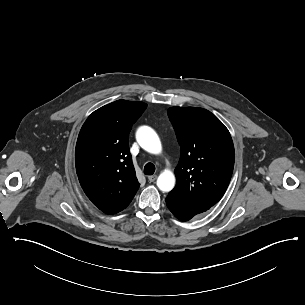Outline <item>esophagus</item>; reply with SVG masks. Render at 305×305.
Masks as SVG:
<instances>
[{
	"instance_id": "34e87169",
	"label": "esophagus",
	"mask_w": 305,
	"mask_h": 305,
	"mask_svg": "<svg viewBox=\"0 0 305 305\" xmlns=\"http://www.w3.org/2000/svg\"><path fill=\"white\" fill-rule=\"evenodd\" d=\"M157 177H158L157 175H151V176L148 177V180L150 182H153V181H155L157 179Z\"/></svg>"
}]
</instances>
